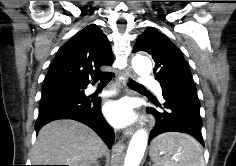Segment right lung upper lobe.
<instances>
[{
    "label": "right lung upper lobe",
    "mask_w": 236,
    "mask_h": 166,
    "mask_svg": "<svg viewBox=\"0 0 236 166\" xmlns=\"http://www.w3.org/2000/svg\"><path fill=\"white\" fill-rule=\"evenodd\" d=\"M114 56L107 37L90 24L76 33L56 53L44 83L68 80L89 84L101 66L112 65Z\"/></svg>",
    "instance_id": "right-lung-upper-lobe-1"
}]
</instances>
